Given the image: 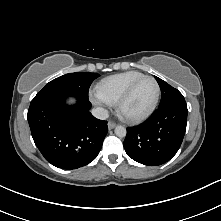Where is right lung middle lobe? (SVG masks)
Returning <instances> with one entry per match:
<instances>
[{
    "mask_svg": "<svg viewBox=\"0 0 221 221\" xmlns=\"http://www.w3.org/2000/svg\"><path fill=\"white\" fill-rule=\"evenodd\" d=\"M99 76L97 73L88 72L65 74L47 83L45 87L37 93L32 102L48 97L66 95H74L87 99L88 89L91 83Z\"/></svg>",
    "mask_w": 221,
    "mask_h": 221,
    "instance_id": "right-lung-middle-lobe-1",
    "label": "right lung middle lobe"
}]
</instances>
